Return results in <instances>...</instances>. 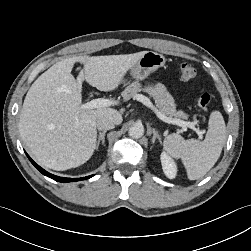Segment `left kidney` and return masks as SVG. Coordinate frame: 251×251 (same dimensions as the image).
Returning <instances> with one entry per match:
<instances>
[{"label":"left kidney","mask_w":251,"mask_h":251,"mask_svg":"<svg viewBox=\"0 0 251 251\" xmlns=\"http://www.w3.org/2000/svg\"><path fill=\"white\" fill-rule=\"evenodd\" d=\"M160 159L164 174L170 179L175 178L177 174L175 162L166 153H162Z\"/></svg>","instance_id":"obj_1"}]
</instances>
